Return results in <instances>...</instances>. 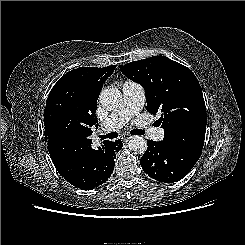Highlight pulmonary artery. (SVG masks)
I'll return each instance as SVG.
<instances>
[{"label": "pulmonary artery", "instance_id": "1", "mask_svg": "<svg viewBox=\"0 0 245 245\" xmlns=\"http://www.w3.org/2000/svg\"><path fill=\"white\" fill-rule=\"evenodd\" d=\"M123 99L121 105L109 114L101 123V132L116 131L126 124L133 116L137 115L145 101L144 89L140 84L126 81L122 86ZM147 136L155 141H161L164 137L162 128H149Z\"/></svg>", "mask_w": 245, "mask_h": 245}]
</instances>
